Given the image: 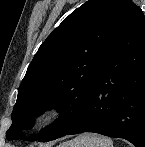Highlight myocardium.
<instances>
[{
    "label": "myocardium",
    "instance_id": "1",
    "mask_svg": "<svg viewBox=\"0 0 145 147\" xmlns=\"http://www.w3.org/2000/svg\"><path fill=\"white\" fill-rule=\"evenodd\" d=\"M64 111L57 104H49L36 110L31 116V123L36 128L50 127L61 121Z\"/></svg>",
    "mask_w": 145,
    "mask_h": 147
}]
</instances>
